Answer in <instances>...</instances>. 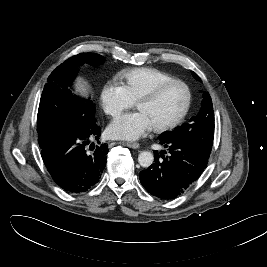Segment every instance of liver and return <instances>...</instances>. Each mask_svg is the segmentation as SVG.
I'll use <instances>...</instances> for the list:
<instances>
[{"instance_id":"obj_1","label":"liver","mask_w":267,"mask_h":267,"mask_svg":"<svg viewBox=\"0 0 267 267\" xmlns=\"http://www.w3.org/2000/svg\"><path fill=\"white\" fill-rule=\"evenodd\" d=\"M76 90L78 92H80L81 94H85V92H86V83L84 81H82L81 79H79L76 82Z\"/></svg>"}]
</instances>
